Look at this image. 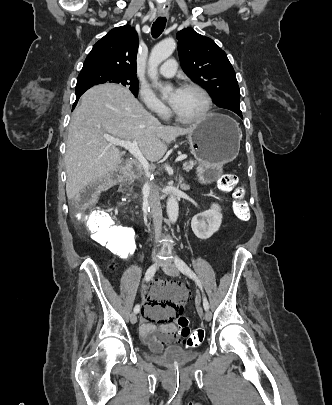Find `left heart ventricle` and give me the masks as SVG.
<instances>
[{
    "mask_svg": "<svg viewBox=\"0 0 332 405\" xmlns=\"http://www.w3.org/2000/svg\"><path fill=\"white\" fill-rule=\"evenodd\" d=\"M169 100L176 113L183 118L198 116L205 106L204 98L195 90L180 89L176 96L172 93Z\"/></svg>",
    "mask_w": 332,
    "mask_h": 405,
    "instance_id": "b2bd125f",
    "label": "left heart ventricle"
}]
</instances>
